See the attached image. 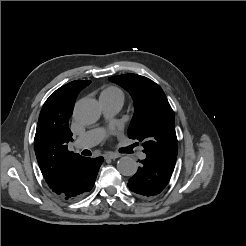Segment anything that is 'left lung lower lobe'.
<instances>
[{
	"mask_svg": "<svg viewBox=\"0 0 246 246\" xmlns=\"http://www.w3.org/2000/svg\"><path fill=\"white\" fill-rule=\"evenodd\" d=\"M139 162L141 166L129 179L128 188L145 199L160 194L169 183L174 167L151 155H146V158Z\"/></svg>",
	"mask_w": 246,
	"mask_h": 246,
	"instance_id": "1",
	"label": "left lung lower lobe"
}]
</instances>
